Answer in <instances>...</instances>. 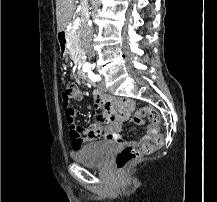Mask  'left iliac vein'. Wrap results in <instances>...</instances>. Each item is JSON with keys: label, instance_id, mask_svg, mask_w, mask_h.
<instances>
[{"label": "left iliac vein", "instance_id": "obj_1", "mask_svg": "<svg viewBox=\"0 0 217 202\" xmlns=\"http://www.w3.org/2000/svg\"><path fill=\"white\" fill-rule=\"evenodd\" d=\"M97 87L101 92L107 91V86H106V83L104 81H101Z\"/></svg>", "mask_w": 217, "mask_h": 202}]
</instances>
